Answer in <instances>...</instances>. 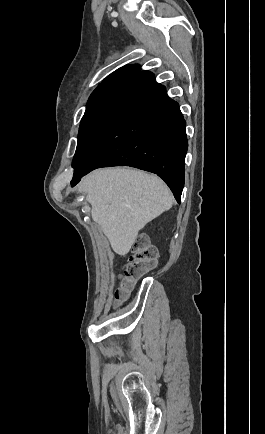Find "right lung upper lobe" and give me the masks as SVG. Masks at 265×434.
Listing matches in <instances>:
<instances>
[{"label":"right lung upper lobe","instance_id":"cb5924a9","mask_svg":"<svg viewBox=\"0 0 265 434\" xmlns=\"http://www.w3.org/2000/svg\"><path fill=\"white\" fill-rule=\"evenodd\" d=\"M141 71V67L139 65H127L125 67L119 68L115 72H113L108 78H113L117 76H135Z\"/></svg>","mask_w":265,"mask_h":434}]
</instances>
